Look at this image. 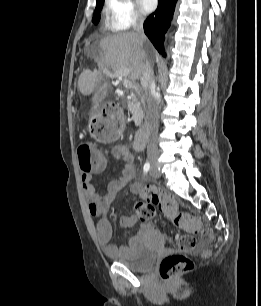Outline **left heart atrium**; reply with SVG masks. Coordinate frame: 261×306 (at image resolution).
Returning <instances> with one entry per match:
<instances>
[{
    "label": "left heart atrium",
    "mask_w": 261,
    "mask_h": 306,
    "mask_svg": "<svg viewBox=\"0 0 261 306\" xmlns=\"http://www.w3.org/2000/svg\"><path fill=\"white\" fill-rule=\"evenodd\" d=\"M138 3L144 13L153 11L157 6V0H138Z\"/></svg>",
    "instance_id": "39dd6f15"
}]
</instances>
